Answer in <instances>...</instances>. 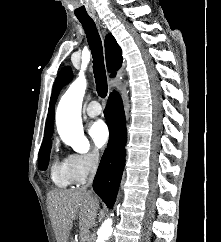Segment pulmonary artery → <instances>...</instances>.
Segmentation results:
<instances>
[{"label": "pulmonary artery", "instance_id": "1", "mask_svg": "<svg viewBox=\"0 0 221 242\" xmlns=\"http://www.w3.org/2000/svg\"><path fill=\"white\" fill-rule=\"evenodd\" d=\"M101 113V106L98 102H91L86 108V114L90 117H96Z\"/></svg>", "mask_w": 221, "mask_h": 242}]
</instances>
